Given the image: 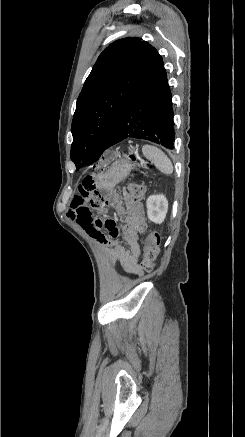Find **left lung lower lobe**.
Masks as SVG:
<instances>
[{"label":"left lung lower lobe","mask_w":245,"mask_h":437,"mask_svg":"<svg viewBox=\"0 0 245 437\" xmlns=\"http://www.w3.org/2000/svg\"><path fill=\"white\" fill-rule=\"evenodd\" d=\"M172 95L162 57L156 60L118 116L105 149L126 138H138L174 149Z\"/></svg>","instance_id":"0a47b994"}]
</instances>
